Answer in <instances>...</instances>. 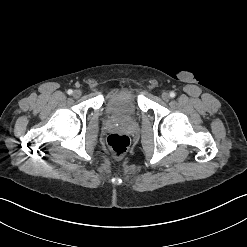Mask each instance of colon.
<instances>
[{
	"label": "colon",
	"mask_w": 247,
	"mask_h": 247,
	"mask_svg": "<svg viewBox=\"0 0 247 247\" xmlns=\"http://www.w3.org/2000/svg\"><path fill=\"white\" fill-rule=\"evenodd\" d=\"M106 143L114 156L120 157L128 150L130 139L127 135L114 133L107 137Z\"/></svg>",
	"instance_id": "1"
}]
</instances>
